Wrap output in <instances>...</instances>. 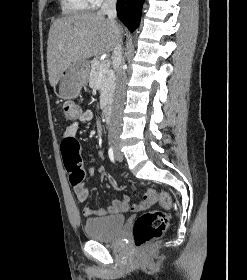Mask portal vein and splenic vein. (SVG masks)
I'll return each mask as SVG.
<instances>
[{
  "mask_svg": "<svg viewBox=\"0 0 247 280\" xmlns=\"http://www.w3.org/2000/svg\"><path fill=\"white\" fill-rule=\"evenodd\" d=\"M110 66V63L108 61H103L100 64V70L101 71H105L106 69H108Z\"/></svg>",
  "mask_w": 247,
  "mask_h": 280,
  "instance_id": "portal-vein-and-splenic-vein-1",
  "label": "portal vein and splenic vein"
}]
</instances>
